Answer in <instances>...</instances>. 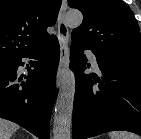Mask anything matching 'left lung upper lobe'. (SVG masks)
Returning a JSON list of instances; mask_svg holds the SVG:
<instances>
[{
    "label": "left lung upper lobe",
    "mask_w": 141,
    "mask_h": 139,
    "mask_svg": "<svg viewBox=\"0 0 141 139\" xmlns=\"http://www.w3.org/2000/svg\"><path fill=\"white\" fill-rule=\"evenodd\" d=\"M83 13L72 41L109 57L141 62V35L131 9L122 0H68Z\"/></svg>",
    "instance_id": "5c2ea615"
}]
</instances>
